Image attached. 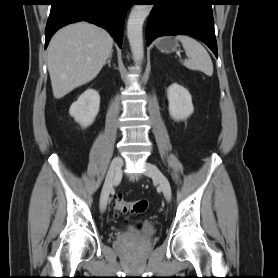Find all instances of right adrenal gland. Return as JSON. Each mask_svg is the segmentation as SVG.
I'll return each mask as SVG.
<instances>
[{
	"label": "right adrenal gland",
	"instance_id": "2a0ac1e0",
	"mask_svg": "<svg viewBox=\"0 0 278 278\" xmlns=\"http://www.w3.org/2000/svg\"><path fill=\"white\" fill-rule=\"evenodd\" d=\"M111 58H112V54L109 55L107 62L104 64H108V67H111Z\"/></svg>",
	"mask_w": 278,
	"mask_h": 278
}]
</instances>
